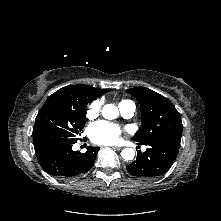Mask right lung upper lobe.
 <instances>
[{"label":"right lung upper lobe","instance_id":"right-lung-upper-lobe-1","mask_svg":"<svg viewBox=\"0 0 221 221\" xmlns=\"http://www.w3.org/2000/svg\"><path fill=\"white\" fill-rule=\"evenodd\" d=\"M106 93L105 89H97L88 85H69L56 91L54 94L64 95L67 100L75 102L81 98H86L91 102L96 97Z\"/></svg>","mask_w":221,"mask_h":221}]
</instances>
